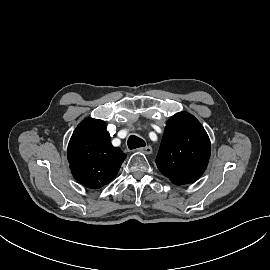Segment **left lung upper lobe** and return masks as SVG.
I'll use <instances>...</instances> for the list:
<instances>
[{
	"instance_id": "obj_1",
	"label": "left lung upper lobe",
	"mask_w": 270,
	"mask_h": 270,
	"mask_svg": "<svg viewBox=\"0 0 270 270\" xmlns=\"http://www.w3.org/2000/svg\"><path fill=\"white\" fill-rule=\"evenodd\" d=\"M210 152L202 125L193 115L180 112L167 121L156 164L174 184H188L203 174Z\"/></svg>"
}]
</instances>
